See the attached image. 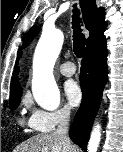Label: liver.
I'll list each match as a JSON object with an SVG mask.
<instances>
[{"label": "liver", "mask_w": 123, "mask_h": 152, "mask_svg": "<svg viewBox=\"0 0 123 152\" xmlns=\"http://www.w3.org/2000/svg\"><path fill=\"white\" fill-rule=\"evenodd\" d=\"M14 152H76L71 142L52 134H40L23 142Z\"/></svg>", "instance_id": "liver-1"}]
</instances>
